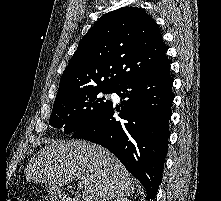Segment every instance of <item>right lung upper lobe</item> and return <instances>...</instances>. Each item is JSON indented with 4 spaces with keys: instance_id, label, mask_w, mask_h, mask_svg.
<instances>
[{
    "instance_id": "obj_1",
    "label": "right lung upper lobe",
    "mask_w": 221,
    "mask_h": 201,
    "mask_svg": "<svg viewBox=\"0 0 221 201\" xmlns=\"http://www.w3.org/2000/svg\"><path fill=\"white\" fill-rule=\"evenodd\" d=\"M166 46L157 24L141 8L103 15L79 42L62 74L56 99L79 91L116 89L163 64Z\"/></svg>"
}]
</instances>
